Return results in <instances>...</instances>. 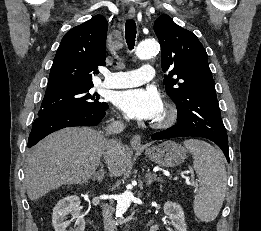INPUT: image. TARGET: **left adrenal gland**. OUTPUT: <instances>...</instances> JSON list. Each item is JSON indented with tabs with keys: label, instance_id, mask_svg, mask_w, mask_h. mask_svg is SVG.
Instances as JSON below:
<instances>
[{
	"label": "left adrenal gland",
	"instance_id": "1",
	"mask_svg": "<svg viewBox=\"0 0 261 231\" xmlns=\"http://www.w3.org/2000/svg\"><path fill=\"white\" fill-rule=\"evenodd\" d=\"M154 181H161V179L148 172L146 174V186H150Z\"/></svg>",
	"mask_w": 261,
	"mask_h": 231
}]
</instances>
